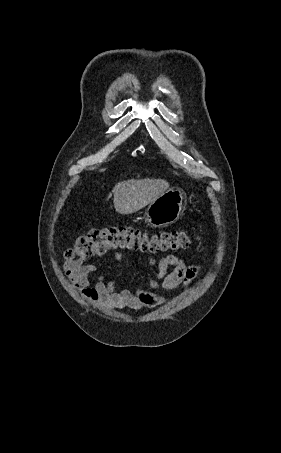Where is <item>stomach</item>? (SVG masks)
Wrapping results in <instances>:
<instances>
[{"label": "stomach", "instance_id": "0dacf381", "mask_svg": "<svg viewBox=\"0 0 281 453\" xmlns=\"http://www.w3.org/2000/svg\"><path fill=\"white\" fill-rule=\"evenodd\" d=\"M184 202V192L180 188H168L158 198L148 204L144 220L149 227H169L179 218Z\"/></svg>", "mask_w": 281, "mask_h": 453}]
</instances>
